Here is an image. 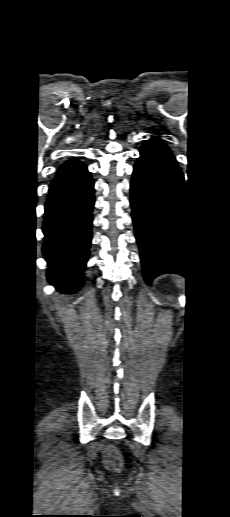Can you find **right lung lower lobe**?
<instances>
[{
    "label": "right lung lower lobe",
    "instance_id": "98d812e1",
    "mask_svg": "<svg viewBox=\"0 0 230 517\" xmlns=\"http://www.w3.org/2000/svg\"><path fill=\"white\" fill-rule=\"evenodd\" d=\"M94 182L83 164L55 176L45 204L42 251L48 281L63 293L82 285L91 244Z\"/></svg>",
    "mask_w": 230,
    "mask_h": 517
}]
</instances>
